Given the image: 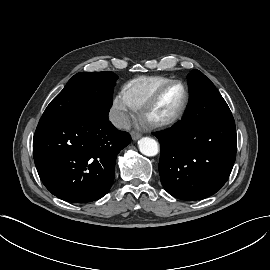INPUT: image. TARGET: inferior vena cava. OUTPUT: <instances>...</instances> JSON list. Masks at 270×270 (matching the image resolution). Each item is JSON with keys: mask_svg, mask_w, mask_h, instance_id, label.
Listing matches in <instances>:
<instances>
[{"mask_svg": "<svg viewBox=\"0 0 270 270\" xmlns=\"http://www.w3.org/2000/svg\"><path fill=\"white\" fill-rule=\"evenodd\" d=\"M109 119L118 129L129 130L131 128V121L123 112L112 110L109 114Z\"/></svg>", "mask_w": 270, "mask_h": 270, "instance_id": "1", "label": "inferior vena cava"}]
</instances>
